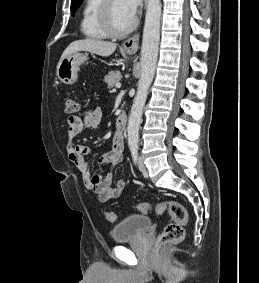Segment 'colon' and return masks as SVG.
Instances as JSON below:
<instances>
[{"instance_id":"colon-1","label":"colon","mask_w":259,"mask_h":283,"mask_svg":"<svg viewBox=\"0 0 259 283\" xmlns=\"http://www.w3.org/2000/svg\"><path fill=\"white\" fill-rule=\"evenodd\" d=\"M65 110L71 115L78 113V102L74 98H66ZM136 210L141 213L154 212L157 215L168 213L171 216L172 221L165 226L164 230L157 237L156 243L158 246L176 244L184 239L188 212L181 203L174 200H168L155 205L139 203L136 206ZM105 217L109 222L116 220V216L112 211H107Z\"/></svg>"}]
</instances>
